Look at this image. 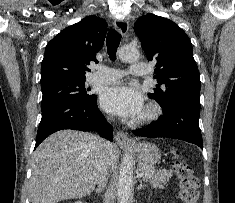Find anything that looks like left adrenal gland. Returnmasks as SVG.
<instances>
[{
  "label": "left adrenal gland",
  "mask_w": 235,
  "mask_h": 203,
  "mask_svg": "<svg viewBox=\"0 0 235 203\" xmlns=\"http://www.w3.org/2000/svg\"><path fill=\"white\" fill-rule=\"evenodd\" d=\"M146 185L142 184V180H139V186L137 187V190H140L141 188L145 187Z\"/></svg>",
  "instance_id": "a2214340"
}]
</instances>
